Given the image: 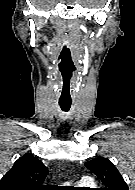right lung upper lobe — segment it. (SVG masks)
Here are the masks:
<instances>
[{
	"instance_id": "right-lung-upper-lobe-1",
	"label": "right lung upper lobe",
	"mask_w": 135,
	"mask_h": 190,
	"mask_svg": "<svg viewBox=\"0 0 135 190\" xmlns=\"http://www.w3.org/2000/svg\"><path fill=\"white\" fill-rule=\"evenodd\" d=\"M48 168L30 154L20 157L0 180V190H47Z\"/></svg>"
}]
</instances>
